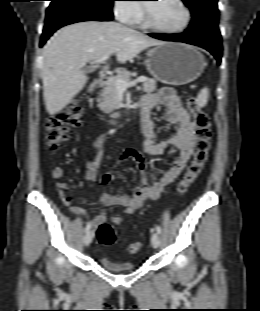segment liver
Wrapping results in <instances>:
<instances>
[{
	"label": "liver",
	"instance_id": "liver-1",
	"mask_svg": "<svg viewBox=\"0 0 260 311\" xmlns=\"http://www.w3.org/2000/svg\"><path fill=\"white\" fill-rule=\"evenodd\" d=\"M117 22L84 21L58 30L44 47L43 96L50 115L64 109L85 86L84 66L115 54L125 63L151 46L164 44Z\"/></svg>",
	"mask_w": 260,
	"mask_h": 311
}]
</instances>
